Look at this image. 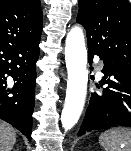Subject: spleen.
<instances>
[{
	"instance_id": "obj_1",
	"label": "spleen",
	"mask_w": 131,
	"mask_h": 151,
	"mask_svg": "<svg viewBox=\"0 0 131 151\" xmlns=\"http://www.w3.org/2000/svg\"><path fill=\"white\" fill-rule=\"evenodd\" d=\"M99 143L105 151H131V130L115 128L103 132Z\"/></svg>"
}]
</instances>
